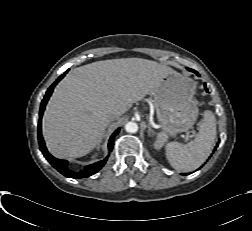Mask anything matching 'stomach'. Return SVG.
Masks as SVG:
<instances>
[{
    "instance_id": "0dacf381",
    "label": "stomach",
    "mask_w": 252,
    "mask_h": 231,
    "mask_svg": "<svg viewBox=\"0 0 252 231\" xmlns=\"http://www.w3.org/2000/svg\"><path fill=\"white\" fill-rule=\"evenodd\" d=\"M195 82L172 71L163 77L153 90L156 116L163 130L170 136L189 130L198 116L194 101Z\"/></svg>"
}]
</instances>
